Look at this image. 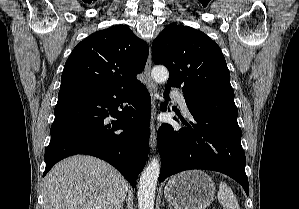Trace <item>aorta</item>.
Listing matches in <instances>:
<instances>
[{
	"label": "aorta",
	"instance_id": "aorta-1",
	"mask_svg": "<svg viewBox=\"0 0 299 209\" xmlns=\"http://www.w3.org/2000/svg\"><path fill=\"white\" fill-rule=\"evenodd\" d=\"M152 79L157 83L168 80L169 72L164 66H155L151 72ZM160 173V160L153 158L143 170L138 186V209H154L156 185Z\"/></svg>",
	"mask_w": 299,
	"mask_h": 209
}]
</instances>
